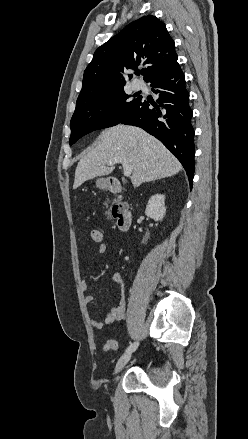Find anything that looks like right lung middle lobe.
<instances>
[{
	"instance_id": "1",
	"label": "right lung middle lobe",
	"mask_w": 248,
	"mask_h": 439,
	"mask_svg": "<svg viewBox=\"0 0 248 439\" xmlns=\"http://www.w3.org/2000/svg\"><path fill=\"white\" fill-rule=\"evenodd\" d=\"M138 101L139 97L130 99V95L119 88L76 107L70 122L69 144L73 145L92 131L119 124Z\"/></svg>"
}]
</instances>
